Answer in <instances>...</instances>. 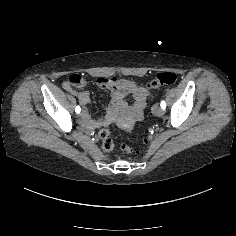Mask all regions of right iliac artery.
Here are the masks:
<instances>
[{"mask_svg": "<svg viewBox=\"0 0 236 236\" xmlns=\"http://www.w3.org/2000/svg\"><path fill=\"white\" fill-rule=\"evenodd\" d=\"M80 111H81L80 106H76V108H75V112H76V113H80Z\"/></svg>", "mask_w": 236, "mask_h": 236, "instance_id": "1", "label": "right iliac artery"}]
</instances>
